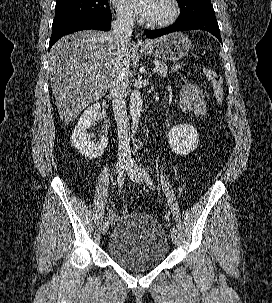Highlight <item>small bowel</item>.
<instances>
[{"instance_id":"obj_1","label":"small bowel","mask_w":272,"mask_h":303,"mask_svg":"<svg viewBox=\"0 0 272 303\" xmlns=\"http://www.w3.org/2000/svg\"><path fill=\"white\" fill-rule=\"evenodd\" d=\"M180 105L184 112L204 117L207 113L204 90L193 83L178 86Z\"/></svg>"}]
</instances>
